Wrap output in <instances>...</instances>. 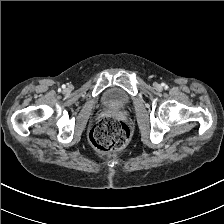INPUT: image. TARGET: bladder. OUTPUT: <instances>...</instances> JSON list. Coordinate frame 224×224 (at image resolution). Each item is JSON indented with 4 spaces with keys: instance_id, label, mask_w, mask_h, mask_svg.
<instances>
[{
    "instance_id": "31cf9c89",
    "label": "bladder",
    "mask_w": 224,
    "mask_h": 224,
    "mask_svg": "<svg viewBox=\"0 0 224 224\" xmlns=\"http://www.w3.org/2000/svg\"><path fill=\"white\" fill-rule=\"evenodd\" d=\"M102 103L111 109H126L131 104L127 93L117 87L107 89L102 96Z\"/></svg>"
}]
</instances>
